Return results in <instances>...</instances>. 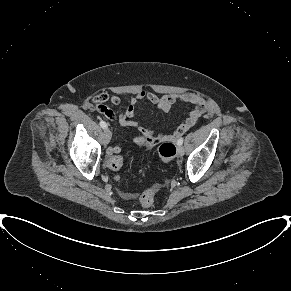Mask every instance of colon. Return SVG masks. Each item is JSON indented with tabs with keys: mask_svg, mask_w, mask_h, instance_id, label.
<instances>
[{
	"mask_svg": "<svg viewBox=\"0 0 291 291\" xmlns=\"http://www.w3.org/2000/svg\"><path fill=\"white\" fill-rule=\"evenodd\" d=\"M176 155V146L171 141L163 142L159 147V156L163 161H170ZM109 169L112 171H119L123 166V157L119 153H113L109 155L107 161ZM156 194V188H149L145 190L140 196L141 206L144 208H150L154 203Z\"/></svg>",
	"mask_w": 291,
	"mask_h": 291,
	"instance_id": "1",
	"label": "colon"
}]
</instances>
